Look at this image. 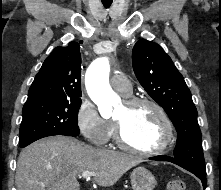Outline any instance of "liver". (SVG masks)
Returning <instances> with one entry per match:
<instances>
[{
	"label": "liver",
	"mask_w": 221,
	"mask_h": 190,
	"mask_svg": "<svg viewBox=\"0 0 221 190\" xmlns=\"http://www.w3.org/2000/svg\"><path fill=\"white\" fill-rule=\"evenodd\" d=\"M141 162L138 156L56 136L21 151L15 182L17 190H79L77 176L90 171L95 172L93 177L99 186L110 187Z\"/></svg>",
	"instance_id": "liver-1"
}]
</instances>
